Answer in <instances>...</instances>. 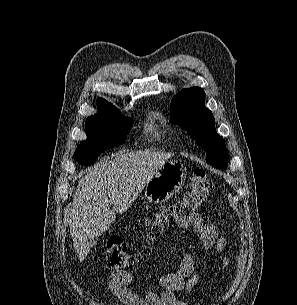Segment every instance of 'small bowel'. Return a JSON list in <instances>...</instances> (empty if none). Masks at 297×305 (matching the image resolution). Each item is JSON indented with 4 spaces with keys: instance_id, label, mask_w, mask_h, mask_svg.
I'll list each match as a JSON object with an SVG mask.
<instances>
[{
    "instance_id": "1",
    "label": "small bowel",
    "mask_w": 297,
    "mask_h": 305,
    "mask_svg": "<svg viewBox=\"0 0 297 305\" xmlns=\"http://www.w3.org/2000/svg\"><path fill=\"white\" fill-rule=\"evenodd\" d=\"M176 226L182 230L191 229L199 238L202 247L221 254L225 250L227 240L220 235L217 228L205 222L200 214L182 216L176 221ZM230 263L228 256L223 259L224 267ZM200 282V274L195 270L193 256L184 252L173 271L163 274L158 281L161 292L147 287L143 294L131 290L132 275L127 271H114L110 274L108 283L113 294L125 305H188L187 302L176 299L178 292H191Z\"/></svg>"
}]
</instances>
